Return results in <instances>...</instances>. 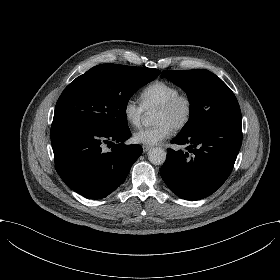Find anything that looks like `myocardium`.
<instances>
[{
    "instance_id": "myocardium-1",
    "label": "myocardium",
    "mask_w": 280,
    "mask_h": 280,
    "mask_svg": "<svg viewBox=\"0 0 280 280\" xmlns=\"http://www.w3.org/2000/svg\"><path fill=\"white\" fill-rule=\"evenodd\" d=\"M179 104L185 105V114L174 126L175 129H184L190 125L195 114V102L193 97L184 92H180L171 99L161 103L157 108L161 110L175 109Z\"/></svg>"
}]
</instances>
